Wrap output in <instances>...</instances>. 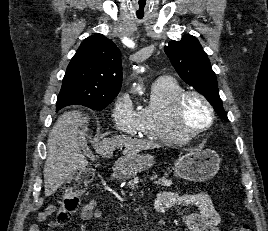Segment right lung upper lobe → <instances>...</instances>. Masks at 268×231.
Here are the masks:
<instances>
[{"label":"right lung upper lobe","instance_id":"1","mask_svg":"<svg viewBox=\"0 0 268 231\" xmlns=\"http://www.w3.org/2000/svg\"><path fill=\"white\" fill-rule=\"evenodd\" d=\"M122 84L121 52L102 34L86 38L71 59L57 102L78 104L114 99Z\"/></svg>","mask_w":268,"mask_h":231}]
</instances>
